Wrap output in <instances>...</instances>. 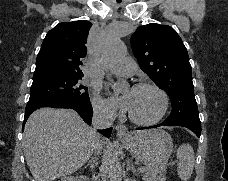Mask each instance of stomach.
I'll list each match as a JSON object with an SVG mask.
<instances>
[{
  "label": "stomach",
  "instance_id": "0dacf381",
  "mask_svg": "<svg viewBox=\"0 0 228 181\" xmlns=\"http://www.w3.org/2000/svg\"><path fill=\"white\" fill-rule=\"evenodd\" d=\"M120 139L131 155L149 169L151 175L166 173L168 159L173 151V141L166 131H132Z\"/></svg>",
  "mask_w": 228,
  "mask_h": 181
}]
</instances>
